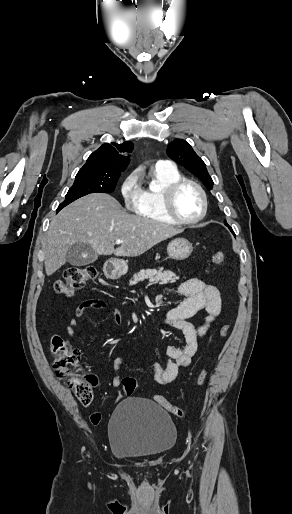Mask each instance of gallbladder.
I'll use <instances>...</instances> for the list:
<instances>
[{"mask_svg": "<svg viewBox=\"0 0 292 514\" xmlns=\"http://www.w3.org/2000/svg\"><path fill=\"white\" fill-rule=\"evenodd\" d=\"M97 258L98 256L92 246L86 244V242L72 244L66 256V260L71 266H87V264H93Z\"/></svg>", "mask_w": 292, "mask_h": 514, "instance_id": "1", "label": "gallbladder"}]
</instances>
